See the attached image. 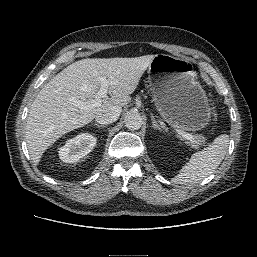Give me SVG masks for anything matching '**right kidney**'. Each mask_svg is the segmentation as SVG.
Here are the masks:
<instances>
[{"instance_id":"1","label":"right kidney","mask_w":257,"mask_h":257,"mask_svg":"<svg viewBox=\"0 0 257 257\" xmlns=\"http://www.w3.org/2000/svg\"><path fill=\"white\" fill-rule=\"evenodd\" d=\"M96 145V138L89 133H82L69 139L59 149V157L63 162L75 163L92 151Z\"/></svg>"}]
</instances>
